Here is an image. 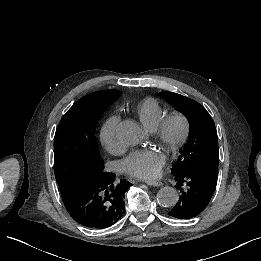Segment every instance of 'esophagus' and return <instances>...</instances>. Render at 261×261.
<instances>
[{
    "mask_svg": "<svg viewBox=\"0 0 261 261\" xmlns=\"http://www.w3.org/2000/svg\"><path fill=\"white\" fill-rule=\"evenodd\" d=\"M145 183L150 186H162L163 183L160 180H146Z\"/></svg>",
    "mask_w": 261,
    "mask_h": 261,
    "instance_id": "obj_1",
    "label": "esophagus"
}]
</instances>
